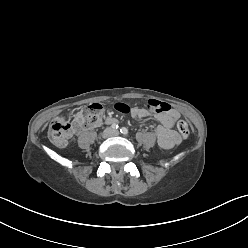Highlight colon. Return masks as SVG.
I'll return each mask as SVG.
<instances>
[{"label":"colon","mask_w":248,"mask_h":248,"mask_svg":"<svg viewBox=\"0 0 248 248\" xmlns=\"http://www.w3.org/2000/svg\"><path fill=\"white\" fill-rule=\"evenodd\" d=\"M147 107L153 112H166L170 109L167 103L157 100H149ZM115 109L123 114H128L131 111L129 105L125 103L115 104ZM103 108L100 104H91L77 115V120L71 123L63 117L56 118L50 125L48 136L50 140L57 146H65L72 132L79 133L83 127L96 125L102 118ZM177 128L183 138L189 136V126L186 121L180 120L177 123Z\"/></svg>","instance_id":"obj_1"}]
</instances>
